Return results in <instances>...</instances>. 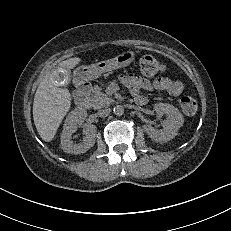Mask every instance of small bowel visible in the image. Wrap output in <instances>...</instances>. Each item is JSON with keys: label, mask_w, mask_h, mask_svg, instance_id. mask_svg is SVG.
I'll list each match as a JSON object with an SVG mask.
<instances>
[{"label": "small bowel", "mask_w": 231, "mask_h": 231, "mask_svg": "<svg viewBox=\"0 0 231 231\" xmlns=\"http://www.w3.org/2000/svg\"><path fill=\"white\" fill-rule=\"evenodd\" d=\"M121 83L132 93L133 98L143 97L141 90L166 91L170 96L177 98L183 91V83L167 77H160L155 80H148L136 74L121 75Z\"/></svg>", "instance_id": "small-bowel-1"}]
</instances>
